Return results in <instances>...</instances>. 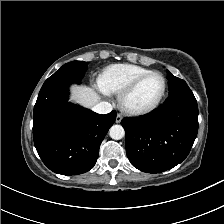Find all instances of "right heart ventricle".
<instances>
[{"mask_svg": "<svg viewBox=\"0 0 224 224\" xmlns=\"http://www.w3.org/2000/svg\"><path fill=\"white\" fill-rule=\"evenodd\" d=\"M152 70L134 64H115L107 67L99 77V87L107 94H119L135 78Z\"/></svg>", "mask_w": 224, "mask_h": 224, "instance_id": "1", "label": "right heart ventricle"}]
</instances>
